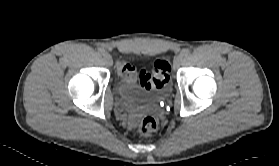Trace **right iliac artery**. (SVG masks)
<instances>
[{"mask_svg": "<svg viewBox=\"0 0 279 166\" xmlns=\"http://www.w3.org/2000/svg\"><path fill=\"white\" fill-rule=\"evenodd\" d=\"M98 53H99V54H105V50H104L103 48H99V49H98Z\"/></svg>", "mask_w": 279, "mask_h": 166, "instance_id": "1", "label": "right iliac artery"}]
</instances>
